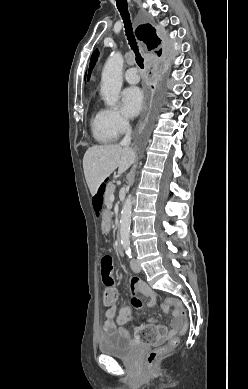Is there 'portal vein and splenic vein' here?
<instances>
[{
	"label": "portal vein and splenic vein",
	"instance_id": "portal-vein-and-splenic-vein-1",
	"mask_svg": "<svg viewBox=\"0 0 248 389\" xmlns=\"http://www.w3.org/2000/svg\"><path fill=\"white\" fill-rule=\"evenodd\" d=\"M110 200H111V202L114 201V195H111Z\"/></svg>",
	"mask_w": 248,
	"mask_h": 389
}]
</instances>
